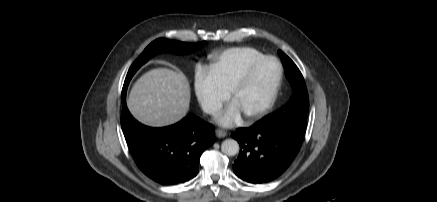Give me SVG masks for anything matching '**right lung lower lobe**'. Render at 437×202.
I'll use <instances>...</instances> for the list:
<instances>
[{"label":"right lung lower lobe","instance_id":"obj_1","mask_svg":"<svg viewBox=\"0 0 437 202\" xmlns=\"http://www.w3.org/2000/svg\"><path fill=\"white\" fill-rule=\"evenodd\" d=\"M121 100V127L139 169L162 185L194 178L203 150L215 141L214 126L193 114L163 128L144 126L132 117L126 99Z\"/></svg>","mask_w":437,"mask_h":202}]
</instances>
